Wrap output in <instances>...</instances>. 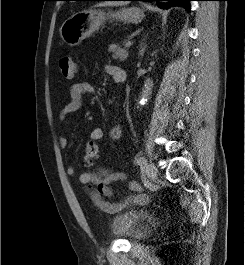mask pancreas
<instances>
[{"label":"pancreas","instance_id":"obj_1","mask_svg":"<svg viewBox=\"0 0 245 265\" xmlns=\"http://www.w3.org/2000/svg\"><path fill=\"white\" fill-rule=\"evenodd\" d=\"M109 52L113 53V59L119 60L120 62L125 61L128 57V51L126 49L110 47Z\"/></svg>","mask_w":245,"mask_h":265}]
</instances>
